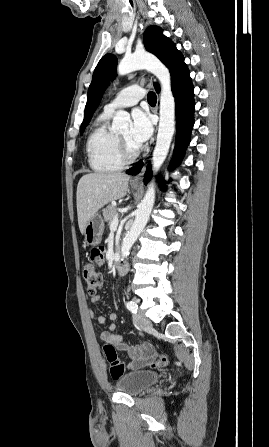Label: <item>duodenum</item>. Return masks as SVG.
I'll return each instance as SVG.
<instances>
[{
	"mask_svg": "<svg viewBox=\"0 0 269 447\" xmlns=\"http://www.w3.org/2000/svg\"><path fill=\"white\" fill-rule=\"evenodd\" d=\"M119 260L117 255H114L113 257V261L115 263V269L120 273V274H125L128 271V263L126 261L124 262H119L117 264V261Z\"/></svg>",
	"mask_w": 269,
	"mask_h": 447,
	"instance_id": "1",
	"label": "duodenum"
}]
</instances>
